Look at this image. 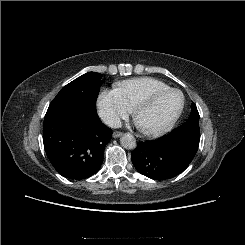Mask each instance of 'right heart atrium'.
<instances>
[{
	"label": "right heart atrium",
	"mask_w": 245,
	"mask_h": 245,
	"mask_svg": "<svg viewBox=\"0 0 245 245\" xmlns=\"http://www.w3.org/2000/svg\"><path fill=\"white\" fill-rule=\"evenodd\" d=\"M100 117L109 126H117L128 118L131 108L123 101L115 89H102L97 99Z\"/></svg>",
	"instance_id": "d8ad5b80"
}]
</instances>
